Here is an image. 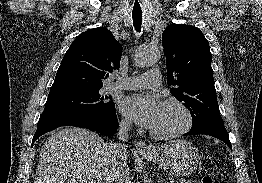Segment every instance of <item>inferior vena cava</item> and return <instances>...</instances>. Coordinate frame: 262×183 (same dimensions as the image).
Returning a JSON list of instances; mask_svg holds the SVG:
<instances>
[{
  "instance_id": "inferior-vena-cava-1",
  "label": "inferior vena cava",
  "mask_w": 262,
  "mask_h": 183,
  "mask_svg": "<svg viewBox=\"0 0 262 183\" xmlns=\"http://www.w3.org/2000/svg\"><path fill=\"white\" fill-rule=\"evenodd\" d=\"M131 122L122 120L119 124L118 136L120 139L128 138ZM108 152L114 161V181L115 183H131L129 177V168L127 165L128 153L126 147L122 143H110L107 145Z\"/></svg>"
}]
</instances>
